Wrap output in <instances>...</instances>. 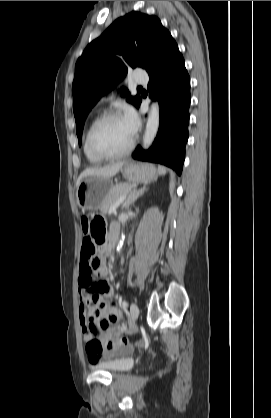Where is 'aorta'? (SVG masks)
I'll use <instances>...</instances> for the list:
<instances>
[{
    "label": "aorta",
    "mask_w": 271,
    "mask_h": 418,
    "mask_svg": "<svg viewBox=\"0 0 271 418\" xmlns=\"http://www.w3.org/2000/svg\"><path fill=\"white\" fill-rule=\"evenodd\" d=\"M160 123V108L158 103H153L150 108L149 116L146 122L145 133L143 136V148L148 149L153 143L159 128ZM124 236L118 246V250L123 245Z\"/></svg>",
    "instance_id": "762f6f07"
}]
</instances>
